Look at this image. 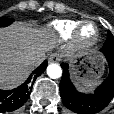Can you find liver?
<instances>
[{
    "label": "liver",
    "instance_id": "1",
    "mask_svg": "<svg viewBox=\"0 0 114 114\" xmlns=\"http://www.w3.org/2000/svg\"><path fill=\"white\" fill-rule=\"evenodd\" d=\"M57 42L48 28H33L25 23L0 28V88L20 84Z\"/></svg>",
    "mask_w": 114,
    "mask_h": 114
}]
</instances>
